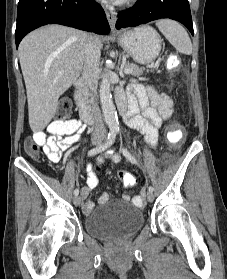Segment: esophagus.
<instances>
[{
  "label": "esophagus",
  "instance_id": "esophagus-1",
  "mask_svg": "<svg viewBox=\"0 0 227 279\" xmlns=\"http://www.w3.org/2000/svg\"><path fill=\"white\" fill-rule=\"evenodd\" d=\"M106 17H107V20L109 22V25H110V28H111V32L112 33H115L116 32V29H115V15L112 11H106Z\"/></svg>",
  "mask_w": 227,
  "mask_h": 279
}]
</instances>
